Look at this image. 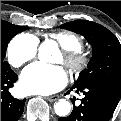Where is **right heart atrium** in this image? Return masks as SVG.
Listing matches in <instances>:
<instances>
[{
    "instance_id": "obj_1",
    "label": "right heart atrium",
    "mask_w": 121,
    "mask_h": 121,
    "mask_svg": "<svg viewBox=\"0 0 121 121\" xmlns=\"http://www.w3.org/2000/svg\"><path fill=\"white\" fill-rule=\"evenodd\" d=\"M38 40L27 34L16 35L8 44L7 58L14 67H21L32 60L37 53Z\"/></svg>"
}]
</instances>
